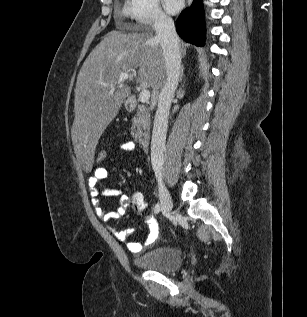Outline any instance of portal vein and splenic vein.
Listing matches in <instances>:
<instances>
[{
    "instance_id": "1",
    "label": "portal vein and splenic vein",
    "mask_w": 307,
    "mask_h": 317,
    "mask_svg": "<svg viewBox=\"0 0 307 317\" xmlns=\"http://www.w3.org/2000/svg\"><path fill=\"white\" fill-rule=\"evenodd\" d=\"M131 76L128 72H124V73H121L119 78H118V81H117V84H114V85H111L112 88H115L117 85H120L122 84L124 81L130 79ZM150 98V91L147 89V88H143L140 92V95H139V100L142 102V103H145L149 100Z\"/></svg>"
}]
</instances>
